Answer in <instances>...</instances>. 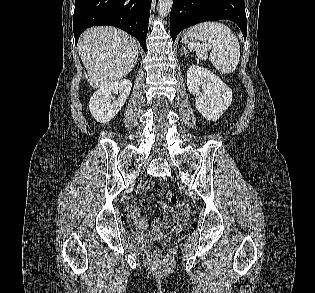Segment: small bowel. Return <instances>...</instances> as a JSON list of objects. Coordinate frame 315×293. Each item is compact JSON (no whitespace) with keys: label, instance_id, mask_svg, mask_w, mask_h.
Here are the masks:
<instances>
[{"label":"small bowel","instance_id":"1","mask_svg":"<svg viewBox=\"0 0 315 293\" xmlns=\"http://www.w3.org/2000/svg\"><path fill=\"white\" fill-rule=\"evenodd\" d=\"M153 188V182L148 181L143 185V190L150 191ZM160 207L165 211H170V213H173V210H171V207L168 206L166 203L161 202ZM130 215L132 219L141 227V228H147V222L144 219V217L140 213V207L138 201L134 200L130 205ZM185 216L184 211H177L176 213V219L181 220ZM169 218L164 216L160 219H156L153 222V227L155 229H159L163 224L168 223Z\"/></svg>","mask_w":315,"mask_h":293}]
</instances>
